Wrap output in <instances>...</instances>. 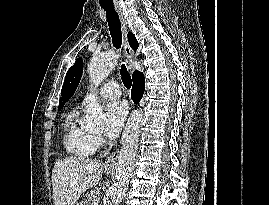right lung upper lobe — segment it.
Returning a JSON list of instances; mask_svg holds the SVG:
<instances>
[{"label": "right lung upper lobe", "mask_w": 269, "mask_h": 205, "mask_svg": "<svg viewBox=\"0 0 269 205\" xmlns=\"http://www.w3.org/2000/svg\"><path fill=\"white\" fill-rule=\"evenodd\" d=\"M128 40H129L130 47L133 50H136L138 48V42L131 32L128 33Z\"/></svg>", "instance_id": "right-lung-upper-lobe-1"}]
</instances>
